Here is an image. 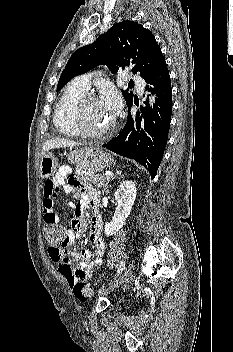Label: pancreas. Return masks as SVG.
<instances>
[{
	"mask_svg": "<svg viewBox=\"0 0 233 352\" xmlns=\"http://www.w3.org/2000/svg\"><path fill=\"white\" fill-rule=\"evenodd\" d=\"M75 175L79 180H83L85 182L92 183L97 187L105 186L106 181L109 180V177H107L105 175H101V174L91 175V174H88L80 169H76Z\"/></svg>",
	"mask_w": 233,
	"mask_h": 352,
	"instance_id": "pancreas-1",
	"label": "pancreas"
}]
</instances>
